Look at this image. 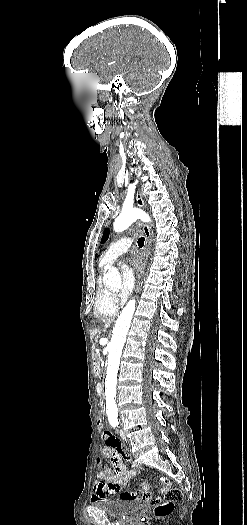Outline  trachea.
<instances>
[{"instance_id": "1", "label": "trachea", "mask_w": 247, "mask_h": 525, "mask_svg": "<svg viewBox=\"0 0 247 525\" xmlns=\"http://www.w3.org/2000/svg\"><path fill=\"white\" fill-rule=\"evenodd\" d=\"M137 243H138V247H139V248H142V247L144 246V244H145V238H144V237H140V238L138 239V242H137Z\"/></svg>"}]
</instances>
